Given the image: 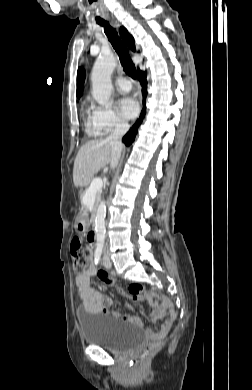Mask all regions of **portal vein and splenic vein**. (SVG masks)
Masks as SVG:
<instances>
[{
	"label": "portal vein and splenic vein",
	"instance_id": "1",
	"mask_svg": "<svg viewBox=\"0 0 252 390\" xmlns=\"http://www.w3.org/2000/svg\"><path fill=\"white\" fill-rule=\"evenodd\" d=\"M103 186L101 178H96L90 184V187L87 189L85 197L83 199L84 204H90L93 202L94 196Z\"/></svg>",
	"mask_w": 252,
	"mask_h": 390
}]
</instances>
